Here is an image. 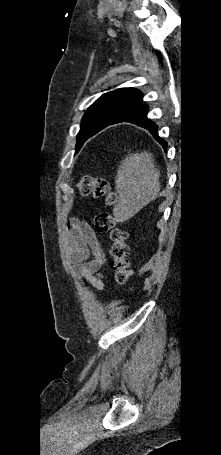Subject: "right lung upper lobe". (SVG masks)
Returning a JSON list of instances; mask_svg holds the SVG:
<instances>
[{
  "label": "right lung upper lobe",
  "instance_id": "cb5924a9",
  "mask_svg": "<svg viewBox=\"0 0 221 455\" xmlns=\"http://www.w3.org/2000/svg\"><path fill=\"white\" fill-rule=\"evenodd\" d=\"M143 95L134 88H122L103 94L93 105H110L128 111L141 103Z\"/></svg>",
  "mask_w": 221,
  "mask_h": 455
}]
</instances>
